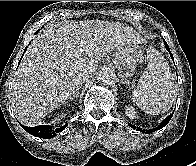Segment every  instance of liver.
<instances>
[{
    "label": "liver",
    "instance_id": "obj_1",
    "mask_svg": "<svg viewBox=\"0 0 196 166\" xmlns=\"http://www.w3.org/2000/svg\"><path fill=\"white\" fill-rule=\"evenodd\" d=\"M141 36L127 24L100 20H64L34 38L16 72L12 106L17 119L34 125L58 109L75 90L78 72L92 76L98 61Z\"/></svg>",
    "mask_w": 196,
    "mask_h": 166
}]
</instances>
